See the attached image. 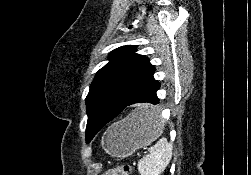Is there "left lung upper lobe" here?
<instances>
[{
    "label": "left lung upper lobe",
    "mask_w": 251,
    "mask_h": 175,
    "mask_svg": "<svg viewBox=\"0 0 251 175\" xmlns=\"http://www.w3.org/2000/svg\"><path fill=\"white\" fill-rule=\"evenodd\" d=\"M135 51L136 46L133 45L113 50L109 54V62L96 73L86 97L87 143L104 127L97 120L95 111L110 103H126L137 85L155 69L146 56Z\"/></svg>",
    "instance_id": "left-lung-upper-lobe-1"
}]
</instances>
